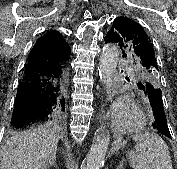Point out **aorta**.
<instances>
[{
  "label": "aorta",
  "mask_w": 177,
  "mask_h": 169,
  "mask_svg": "<svg viewBox=\"0 0 177 169\" xmlns=\"http://www.w3.org/2000/svg\"><path fill=\"white\" fill-rule=\"evenodd\" d=\"M118 57L119 50L116 45H107L103 48L99 69L103 82L108 88L111 86L116 72ZM109 140L110 135L107 131H101L96 135L92 148L86 157L84 169H100L103 166Z\"/></svg>",
  "instance_id": "1"
}]
</instances>
